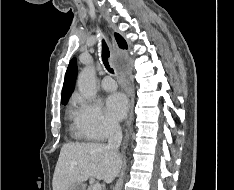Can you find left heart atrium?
<instances>
[{
	"mask_svg": "<svg viewBox=\"0 0 234 190\" xmlns=\"http://www.w3.org/2000/svg\"><path fill=\"white\" fill-rule=\"evenodd\" d=\"M128 99L122 93H113L106 99V110L114 120H121L127 113Z\"/></svg>",
	"mask_w": 234,
	"mask_h": 190,
	"instance_id": "39dd6f15",
	"label": "left heart atrium"
}]
</instances>
